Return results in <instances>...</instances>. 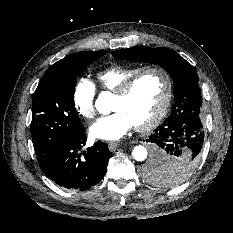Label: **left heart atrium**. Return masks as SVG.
<instances>
[{"label":"left heart atrium","instance_id":"obj_1","mask_svg":"<svg viewBox=\"0 0 233 233\" xmlns=\"http://www.w3.org/2000/svg\"><path fill=\"white\" fill-rule=\"evenodd\" d=\"M134 126L131 118L121 110L99 118L90 127V135L96 139L118 140Z\"/></svg>","mask_w":233,"mask_h":233}]
</instances>
